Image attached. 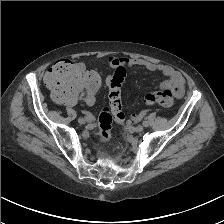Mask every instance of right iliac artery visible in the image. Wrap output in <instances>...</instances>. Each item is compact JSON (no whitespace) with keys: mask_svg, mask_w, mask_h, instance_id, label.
<instances>
[{"mask_svg":"<svg viewBox=\"0 0 224 224\" xmlns=\"http://www.w3.org/2000/svg\"><path fill=\"white\" fill-rule=\"evenodd\" d=\"M85 119L87 122H92L93 121V117L91 115H86Z\"/></svg>","mask_w":224,"mask_h":224,"instance_id":"right-iliac-artery-1","label":"right iliac artery"}]
</instances>
